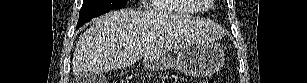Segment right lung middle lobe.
<instances>
[{"mask_svg":"<svg viewBox=\"0 0 307 83\" xmlns=\"http://www.w3.org/2000/svg\"><path fill=\"white\" fill-rule=\"evenodd\" d=\"M126 4L127 0H84L80 10L78 27L110 10L121 9Z\"/></svg>","mask_w":307,"mask_h":83,"instance_id":"right-lung-middle-lobe-1","label":"right lung middle lobe"}]
</instances>
